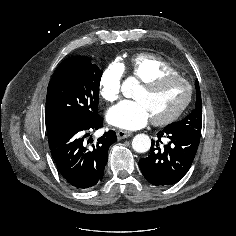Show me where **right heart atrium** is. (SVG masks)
<instances>
[{"label":"right heart atrium","mask_w":236,"mask_h":236,"mask_svg":"<svg viewBox=\"0 0 236 236\" xmlns=\"http://www.w3.org/2000/svg\"><path fill=\"white\" fill-rule=\"evenodd\" d=\"M124 71V65L118 60H115L101 73L99 78V92L106 101L115 102L120 99Z\"/></svg>","instance_id":"right-heart-atrium-1"}]
</instances>
